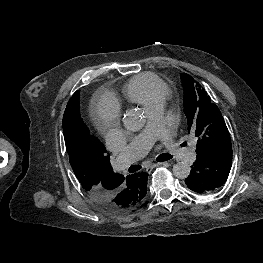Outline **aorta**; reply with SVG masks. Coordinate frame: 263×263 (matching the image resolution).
I'll return each mask as SVG.
<instances>
[{
    "label": "aorta",
    "instance_id": "1",
    "mask_svg": "<svg viewBox=\"0 0 263 263\" xmlns=\"http://www.w3.org/2000/svg\"><path fill=\"white\" fill-rule=\"evenodd\" d=\"M124 127L130 131H137L143 126V119L139 111L128 110L123 118ZM191 171L190 165L186 162H177L173 166V175L179 179H185Z\"/></svg>",
    "mask_w": 263,
    "mask_h": 263
}]
</instances>
